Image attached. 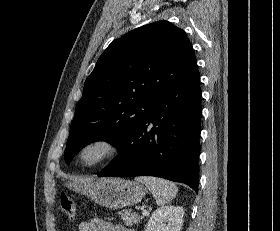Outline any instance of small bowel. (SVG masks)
<instances>
[{"mask_svg": "<svg viewBox=\"0 0 280 231\" xmlns=\"http://www.w3.org/2000/svg\"><path fill=\"white\" fill-rule=\"evenodd\" d=\"M79 231H127L120 224L106 221L100 218H93L89 221H83L78 226Z\"/></svg>", "mask_w": 280, "mask_h": 231, "instance_id": "1", "label": "small bowel"}]
</instances>
